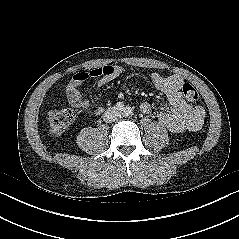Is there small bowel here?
<instances>
[{
    "label": "small bowel",
    "mask_w": 239,
    "mask_h": 239,
    "mask_svg": "<svg viewBox=\"0 0 239 239\" xmlns=\"http://www.w3.org/2000/svg\"><path fill=\"white\" fill-rule=\"evenodd\" d=\"M123 73V67L117 64L105 65L92 70L91 72H77L69 81L66 94L71 107L83 110L88 115H98L103 107L93 105L88 100L83 99L80 86L89 77H97L99 86L106 85L117 79ZM151 82L155 89L164 94L170 103V110L161 111L157 118L159 122L173 133L199 130L206 116L205 109L201 105H191L182 94L184 80L177 74L162 75L154 72L151 74ZM151 104L143 102L140 111L144 114L150 113Z\"/></svg>",
    "instance_id": "1"
}]
</instances>
